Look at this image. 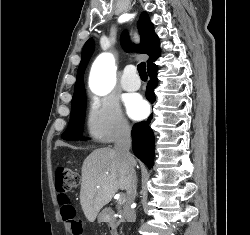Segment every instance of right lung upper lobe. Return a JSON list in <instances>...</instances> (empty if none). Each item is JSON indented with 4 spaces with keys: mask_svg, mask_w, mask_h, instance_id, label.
<instances>
[{
    "mask_svg": "<svg viewBox=\"0 0 250 235\" xmlns=\"http://www.w3.org/2000/svg\"><path fill=\"white\" fill-rule=\"evenodd\" d=\"M137 26L141 37L140 47H137L130 42L127 31H124L121 35V44L126 51L137 49L141 53L148 54V64L160 52V41L158 36L154 32V26L151 23L146 12H143L141 14L139 21L137 22ZM93 51L94 42L92 39H89L85 43L82 50V58L77 72V81L73 98L79 96L82 93H85L83 75Z\"/></svg>",
    "mask_w": 250,
    "mask_h": 235,
    "instance_id": "obj_1",
    "label": "right lung upper lobe"
}]
</instances>
